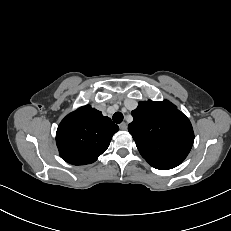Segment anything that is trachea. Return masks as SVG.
Masks as SVG:
<instances>
[{"mask_svg": "<svg viewBox=\"0 0 231 231\" xmlns=\"http://www.w3.org/2000/svg\"><path fill=\"white\" fill-rule=\"evenodd\" d=\"M123 114L121 112H116L113 114L112 119L115 123L120 124L123 121Z\"/></svg>", "mask_w": 231, "mask_h": 231, "instance_id": "trachea-1", "label": "trachea"}]
</instances>
